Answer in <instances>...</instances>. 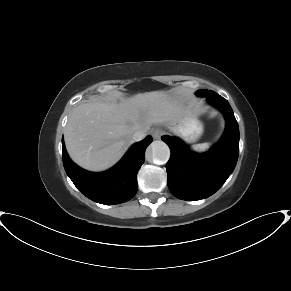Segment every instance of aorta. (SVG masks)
I'll return each instance as SVG.
<instances>
[{
    "mask_svg": "<svg viewBox=\"0 0 291 291\" xmlns=\"http://www.w3.org/2000/svg\"><path fill=\"white\" fill-rule=\"evenodd\" d=\"M149 153L153 163L165 164L170 158V149L168 145L160 140L153 141L149 146Z\"/></svg>",
    "mask_w": 291,
    "mask_h": 291,
    "instance_id": "1",
    "label": "aorta"
}]
</instances>
